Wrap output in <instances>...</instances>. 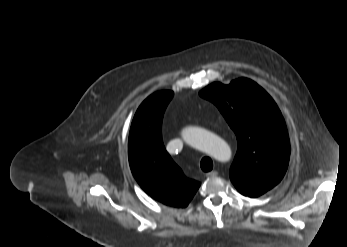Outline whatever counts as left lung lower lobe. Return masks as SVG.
Instances as JSON below:
<instances>
[{
    "instance_id": "1",
    "label": "left lung lower lobe",
    "mask_w": 347,
    "mask_h": 247,
    "mask_svg": "<svg viewBox=\"0 0 347 247\" xmlns=\"http://www.w3.org/2000/svg\"><path fill=\"white\" fill-rule=\"evenodd\" d=\"M242 194V193H241ZM257 196H259V195H255V196H249V197H257Z\"/></svg>"
}]
</instances>
